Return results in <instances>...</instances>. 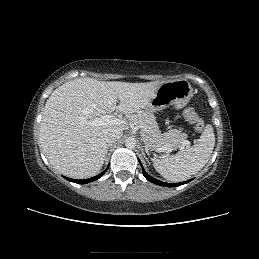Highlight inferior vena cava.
Masks as SVG:
<instances>
[{
	"instance_id": "inferior-vena-cava-1",
	"label": "inferior vena cava",
	"mask_w": 259,
	"mask_h": 259,
	"mask_svg": "<svg viewBox=\"0 0 259 259\" xmlns=\"http://www.w3.org/2000/svg\"><path fill=\"white\" fill-rule=\"evenodd\" d=\"M123 132L121 130L115 129L107 132L105 134V140L107 143L111 144L119 140L122 136Z\"/></svg>"
}]
</instances>
